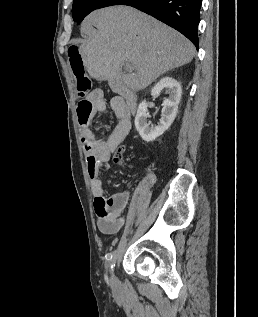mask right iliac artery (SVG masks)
I'll list each match as a JSON object with an SVG mask.
<instances>
[{
    "mask_svg": "<svg viewBox=\"0 0 258 317\" xmlns=\"http://www.w3.org/2000/svg\"><path fill=\"white\" fill-rule=\"evenodd\" d=\"M116 260H117V253H116V251H114L113 257H112V261H111V270H112V271L114 270ZM107 283H108V282H107Z\"/></svg>",
    "mask_w": 258,
    "mask_h": 317,
    "instance_id": "82829eb1",
    "label": "right iliac artery"
}]
</instances>
